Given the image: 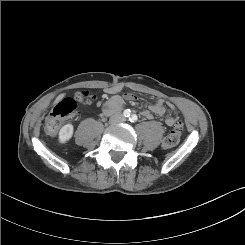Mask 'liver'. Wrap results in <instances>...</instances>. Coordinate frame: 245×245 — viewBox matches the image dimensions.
Returning a JSON list of instances; mask_svg holds the SVG:
<instances>
[{
	"label": "liver",
	"instance_id": "liver-1",
	"mask_svg": "<svg viewBox=\"0 0 245 245\" xmlns=\"http://www.w3.org/2000/svg\"><path fill=\"white\" fill-rule=\"evenodd\" d=\"M64 96H65L64 93L58 95L53 104H56L57 102H59Z\"/></svg>",
	"mask_w": 245,
	"mask_h": 245
}]
</instances>
